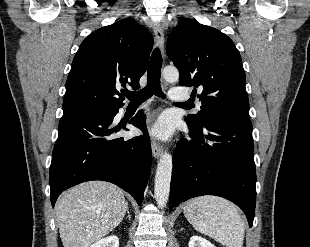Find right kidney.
Segmentation results:
<instances>
[{
	"label": "right kidney",
	"instance_id": "right-kidney-1",
	"mask_svg": "<svg viewBox=\"0 0 310 247\" xmlns=\"http://www.w3.org/2000/svg\"><path fill=\"white\" fill-rule=\"evenodd\" d=\"M90 247H119V239L117 236H108L106 238H102L92 244Z\"/></svg>",
	"mask_w": 310,
	"mask_h": 247
}]
</instances>
